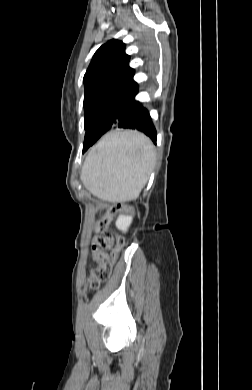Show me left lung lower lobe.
I'll use <instances>...</instances> for the list:
<instances>
[{"mask_svg": "<svg viewBox=\"0 0 252 390\" xmlns=\"http://www.w3.org/2000/svg\"><path fill=\"white\" fill-rule=\"evenodd\" d=\"M134 95L116 115L106 114L90 121L85 127L83 152L92 146L104 133L111 129L124 128L142 131L156 144V129L149 111Z\"/></svg>", "mask_w": 252, "mask_h": 390, "instance_id": "1", "label": "left lung lower lobe"}]
</instances>
